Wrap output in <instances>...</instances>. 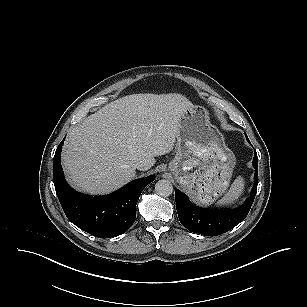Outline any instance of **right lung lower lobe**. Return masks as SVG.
<instances>
[{"mask_svg": "<svg viewBox=\"0 0 307 307\" xmlns=\"http://www.w3.org/2000/svg\"><path fill=\"white\" fill-rule=\"evenodd\" d=\"M63 142L54 155V186L67 218L80 229L99 238L125 233L135 222L140 194L155 176L134 180L106 196L93 197L78 193L68 186L63 176L60 163Z\"/></svg>", "mask_w": 307, "mask_h": 307, "instance_id": "1", "label": "right lung lower lobe"}]
</instances>
